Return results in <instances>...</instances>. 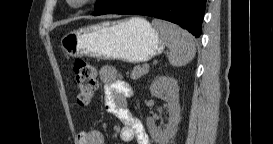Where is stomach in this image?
<instances>
[{"mask_svg": "<svg viewBox=\"0 0 273 144\" xmlns=\"http://www.w3.org/2000/svg\"><path fill=\"white\" fill-rule=\"evenodd\" d=\"M61 47L71 57L141 63L162 53L165 43L145 18L131 17L71 31L62 37Z\"/></svg>", "mask_w": 273, "mask_h": 144, "instance_id": "1", "label": "stomach"}]
</instances>
